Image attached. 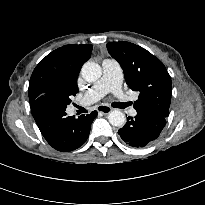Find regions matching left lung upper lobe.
Listing matches in <instances>:
<instances>
[{
	"mask_svg": "<svg viewBox=\"0 0 205 205\" xmlns=\"http://www.w3.org/2000/svg\"><path fill=\"white\" fill-rule=\"evenodd\" d=\"M109 54L121 65L126 83L139 92L136 111L169 116L171 78L163 63L146 49L126 41L107 43Z\"/></svg>",
	"mask_w": 205,
	"mask_h": 205,
	"instance_id": "5c2ea615",
	"label": "left lung upper lobe"
}]
</instances>
